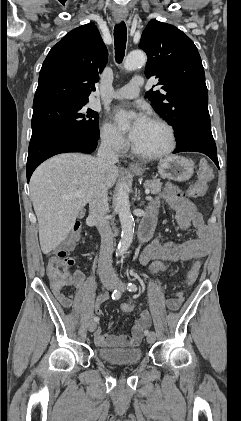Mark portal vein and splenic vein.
Masks as SVG:
<instances>
[{
	"label": "portal vein and splenic vein",
	"mask_w": 241,
	"mask_h": 421,
	"mask_svg": "<svg viewBox=\"0 0 241 421\" xmlns=\"http://www.w3.org/2000/svg\"><path fill=\"white\" fill-rule=\"evenodd\" d=\"M145 193H146V194H149V193H150L149 188L145 189ZM84 196H85V194H84L83 192H81V191H77V192H74V193H71V194L65 195L63 198H65V199L75 198V197H77V198H81V197H84Z\"/></svg>",
	"instance_id": "obj_1"
}]
</instances>
